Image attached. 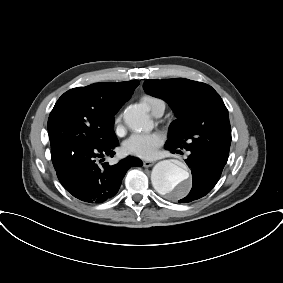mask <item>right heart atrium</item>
<instances>
[{"label": "right heart atrium", "instance_id": "1", "mask_svg": "<svg viewBox=\"0 0 283 283\" xmlns=\"http://www.w3.org/2000/svg\"><path fill=\"white\" fill-rule=\"evenodd\" d=\"M120 121H121V115H118L115 119L116 126H118L120 124Z\"/></svg>", "mask_w": 283, "mask_h": 283}]
</instances>
